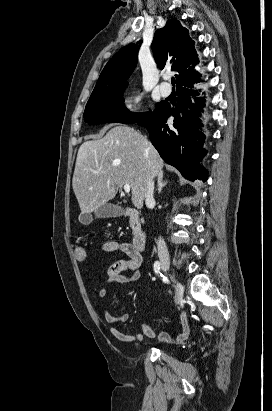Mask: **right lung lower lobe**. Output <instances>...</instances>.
Listing matches in <instances>:
<instances>
[{
  "label": "right lung lower lobe",
  "mask_w": 272,
  "mask_h": 411,
  "mask_svg": "<svg viewBox=\"0 0 272 411\" xmlns=\"http://www.w3.org/2000/svg\"><path fill=\"white\" fill-rule=\"evenodd\" d=\"M197 81L199 78L177 87L175 108L161 102L153 115L137 124L147 128L152 144L166 163L176 167L188 180L206 181L207 171L199 164L206 153L202 149L205 136L201 132L199 135L198 130L201 128L198 114L205 100L197 98L195 104L190 101V96L198 95L192 89ZM170 116L174 117L173 123H167Z\"/></svg>",
  "instance_id": "1"
}]
</instances>
